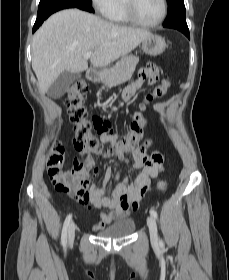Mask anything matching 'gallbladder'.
<instances>
[{"label":"gallbladder","mask_w":229,"mask_h":280,"mask_svg":"<svg viewBox=\"0 0 229 280\" xmlns=\"http://www.w3.org/2000/svg\"><path fill=\"white\" fill-rule=\"evenodd\" d=\"M80 73H73L69 71H64L56 79V81L49 87L48 95L52 98L62 97L69 86L80 78Z\"/></svg>","instance_id":"bac80fb5"}]
</instances>
